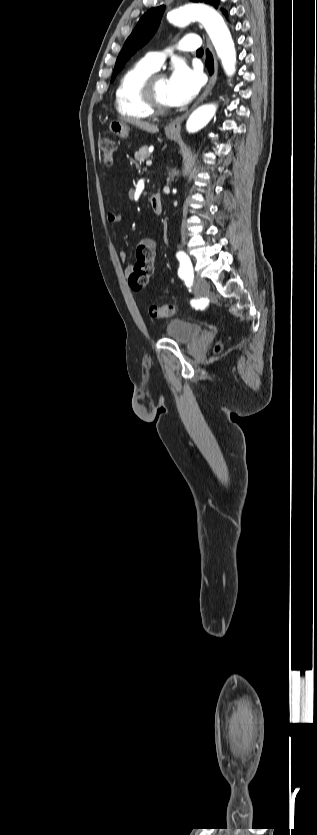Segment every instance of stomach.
I'll list each match as a JSON object with an SVG mask.
<instances>
[{
    "label": "stomach",
    "instance_id": "stomach-1",
    "mask_svg": "<svg viewBox=\"0 0 317 835\" xmlns=\"http://www.w3.org/2000/svg\"><path fill=\"white\" fill-rule=\"evenodd\" d=\"M109 130L112 134L124 138L128 136L129 126L123 120H113L109 123ZM165 134L171 140L177 136V133L171 132L167 128H165Z\"/></svg>",
    "mask_w": 317,
    "mask_h": 835
}]
</instances>
